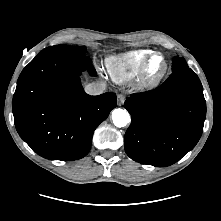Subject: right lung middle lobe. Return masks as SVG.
<instances>
[{"label":"right lung middle lobe","instance_id":"obj_1","mask_svg":"<svg viewBox=\"0 0 221 221\" xmlns=\"http://www.w3.org/2000/svg\"><path fill=\"white\" fill-rule=\"evenodd\" d=\"M86 48L83 46L56 45L43 49L38 55L44 53L66 54V55H84Z\"/></svg>","mask_w":221,"mask_h":221}]
</instances>
